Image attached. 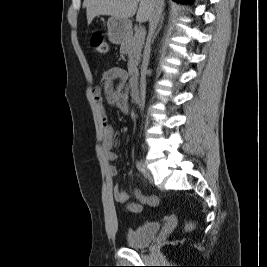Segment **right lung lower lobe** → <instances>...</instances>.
<instances>
[{"instance_id": "right-lung-lower-lobe-1", "label": "right lung lower lobe", "mask_w": 267, "mask_h": 267, "mask_svg": "<svg viewBox=\"0 0 267 267\" xmlns=\"http://www.w3.org/2000/svg\"><path fill=\"white\" fill-rule=\"evenodd\" d=\"M176 2H181V3H189L192 4L193 0H174Z\"/></svg>"}]
</instances>
